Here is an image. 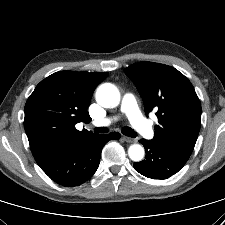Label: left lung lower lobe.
Returning <instances> with one entry per match:
<instances>
[{
  "mask_svg": "<svg viewBox=\"0 0 225 225\" xmlns=\"http://www.w3.org/2000/svg\"><path fill=\"white\" fill-rule=\"evenodd\" d=\"M139 142L145 147L146 156L143 161L134 163V168L148 178L167 179L182 169L190 157L153 140Z\"/></svg>",
  "mask_w": 225,
  "mask_h": 225,
  "instance_id": "obj_1",
  "label": "left lung lower lobe"
}]
</instances>
